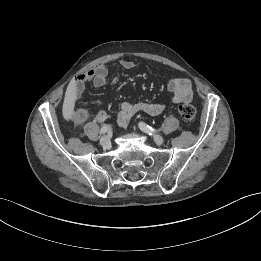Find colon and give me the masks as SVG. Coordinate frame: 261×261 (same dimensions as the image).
<instances>
[{
  "label": "colon",
  "instance_id": "1",
  "mask_svg": "<svg viewBox=\"0 0 261 261\" xmlns=\"http://www.w3.org/2000/svg\"><path fill=\"white\" fill-rule=\"evenodd\" d=\"M180 116L186 120H193L196 117V109L190 104H182L177 108ZM88 111L85 108H79L75 114V120L77 123H82L88 118Z\"/></svg>",
  "mask_w": 261,
  "mask_h": 261
}]
</instances>
